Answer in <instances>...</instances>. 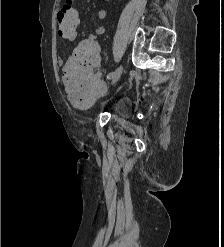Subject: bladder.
I'll use <instances>...</instances> for the list:
<instances>
[{"instance_id":"1","label":"bladder","mask_w":224,"mask_h":247,"mask_svg":"<svg viewBox=\"0 0 224 247\" xmlns=\"http://www.w3.org/2000/svg\"><path fill=\"white\" fill-rule=\"evenodd\" d=\"M108 110L118 117L129 118L132 114L131 100L127 96L117 97L110 103Z\"/></svg>"}]
</instances>
